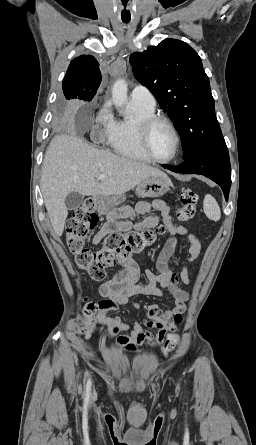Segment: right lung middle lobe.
I'll use <instances>...</instances> for the list:
<instances>
[{"instance_id": "right-lung-middle-lobe-1", "label": "right lung middle lobe", "mask_w": 256, "mask_h": 445, "mask_svg": "<svg viewBox=\"0 0 256 445\" xmlns=\"http://www.w3.org/2000/svg\"><path fill=\"white\" fill-rule=\"evenodd\" d=\"M65 98H66V99H68V100H70V99H71V98H68V97H66V96H65Z\"/></svg>"}]
</instances>
